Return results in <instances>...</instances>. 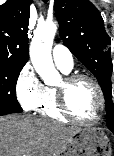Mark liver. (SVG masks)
Returning <instances> with one entry per match:
<instances>
[{"label":"liver","mask_w":114,"mask_h":156,"mask_svg":"<svg viewBox=\"0 0 114 156\" xmlns=\"http://www.w3.org/2000/svg\"><path fill=\"white\" fill-rule=\"evenodd\" d=\"M79 129L26 115L0 117V156H54Z\"/></svg>","instance_id":"liver-1"}]
</instances>
